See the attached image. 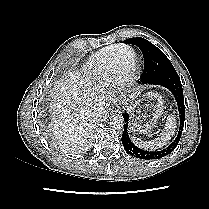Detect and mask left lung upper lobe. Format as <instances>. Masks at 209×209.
<instances>
[{
  "instance_id": "5c2ea615",
  "label": "left lung upper lobe",
  "mask_w": 209,
  "mask_h": 209,
  "mask_svg": "<svg viewBox=\"0 0 209 209\" xmlns=\"http://www.w3.org/2000/svg\"><path fill=\"white\" fill-rule=\"evenodd\" d=\"M124 43L138 46L143 53L144 71L140 77L143 83H148L151 79L165 72L175 71L167 56L148 40L136 37L126 39Z\"/></svg>"
}]
</instances>
